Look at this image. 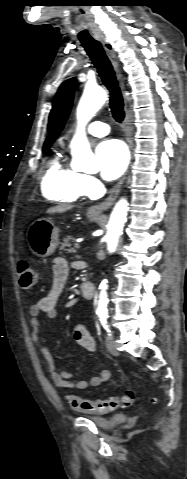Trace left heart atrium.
Segmentation results:
<instances>
[{
    "label": "left heart atrium",
    "mask_w": 187,
    "mask_h": 479,
    "mask_svg": "<svg viewBox=\"0 0 187 479\" xmlns=\"http://www.w3.org/2000/svg\"><path fill=\"white\" fill-rule=\"evenodd\" d=\"M96 155L100 163L101 176L108 181L118 178L128 163L126 147L117 139L104 140L98 144Z\"/></svg>",
    "instance_id": "39dd6f15"
}]
</instances>
